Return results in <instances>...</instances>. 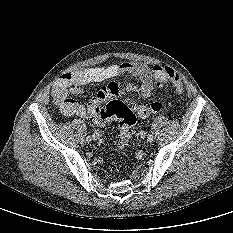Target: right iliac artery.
Listing matches in <instances>:
<instances>
[{
  "mask_svg": "<svg viewBox=\"0 0 233 233\" xmlns=\"http://www.w3.org/2000/svg\"><path fill=\"white\" fill-rule=\"evenodd\" d=\"M92 140V137L91 136H88L87 138H86V141L87 142H90Z\"/></svg>",
  "mask_w": 233,
  "mask_h": 233,
  "instance_id": "1",
  "label": "right iliac artery"
}]
</instances>
